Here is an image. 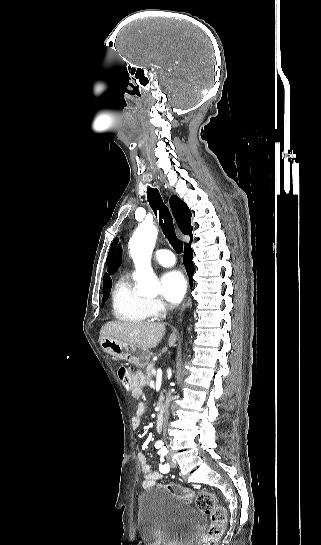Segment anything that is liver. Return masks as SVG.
Returning <instances> with one entry per match:
<instances>
[{"instance_id":"liver-1","label":"liver","mask_w":321,"mask_h":545,"mask_svg":"<svg viewBox=\"0 0 321 545\" xmlns=\"http://www.w3.org/2000/svg\"><path fill=\"white\" fill-rule=\"evenodd\" d=\"M162 323H133V321H110L103 325L101 337H114L123 343L134 345L138 349H154L165 335ZM176 337L170 335L168 345L174 347Z\"/></svg>"}]
</instances>
